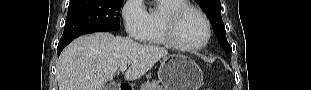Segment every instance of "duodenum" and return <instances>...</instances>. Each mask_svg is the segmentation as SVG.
I'll return each mask as SVG.
<instances>
[{
  "instance_id": "1",
  "label": "duodenum",
  "mask_w": 311,
  "mask_h": 90,
  "mask_svg": "<svg viewBox=\"0 0 311 90\" xmlns=\"http://www.w3.org/2000/svg\"><path fill=\"white\" fill-rule=\"evenodd\" d=\"M118 90H132V88L128 84H122L118 87Z\"/></svg>"
}]
</instances>
